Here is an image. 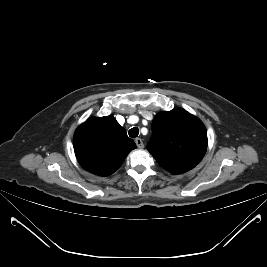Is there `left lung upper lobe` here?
<instances>
[{
  "label": "left lung upper lobe",
  "instance_id": "5c2ea615",
  "mask_svg": "<svg viewBox=\"0 0 267 267\" xmlns=\"http://www.w3.org/2000/svg\"><path fill=\"white\" fill-rule=\"evenodd\" d=\"M207 144L204 124L184 109H174L155 116L147 149L163 169L181 174L202 160Z\"/></svg>",
  "mask_w": 267,
  "mask_h": 267
}]
</instances>
